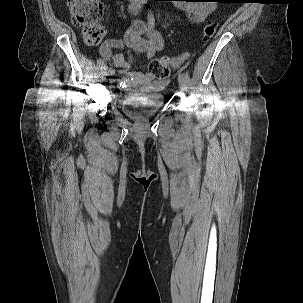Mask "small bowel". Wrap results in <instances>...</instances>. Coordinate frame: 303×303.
<instances>
[{"instance_id": "small-bowel-1", "label": "small bowel", "mask_w": 303, "mask_h": 303, "mask_svg": "<svg viewBox=\"0 0 303 303\" xmlns=\"http://www.w3.org/2000/svg\"><path fill=\"white\" fill-rule=\"evenodd\" d=\"M142 0H134L130 6V12L137 15L141 9ZM187 1L180 4V7L187 13L189 19L193 22L205 21L211 12L215 9L214 4L205 3L206 0H183ZM145 35L143 37L142 35ZM128 47L142 55L143 58L151 59L156 52L161 51L164 47L163 39L160 33L151 26L140 20H135L133 25L125 32L121 39L111 38L106 40L100 47L101 56L108 62H112L115 67L120 69L122 85L135 84L145 87L149 90L163 89L167 84V79H158L150 72L132 71L131 66L134 57L129 55L125 58L122 53L114 50Z\"/></svg>"}]
</instances>
